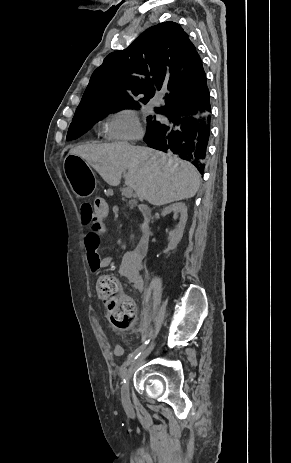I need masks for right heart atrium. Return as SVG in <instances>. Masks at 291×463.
<instances>
[{"label": "right heart atrium", "mask_w": 291, "mask_h": 463, "mask_svg": "<svg viewBox=\"0 0 291 463\" xmlns=\"http://www.w3.org/2000/svg\"><path fill=\"white\" fill-rule=\"evenodd\" d=\"M137 113L132 109H122L111 114L104 127V134L111 140H135L141 135Z\"/></svg>", "instance_id": "right-heart-atrium-1"}]
</instances>
